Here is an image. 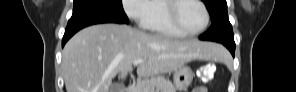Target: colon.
Instances as JSON below:
<instances>
[{"instance_id": "5ec220e1", "label": "colon", "mask_w": 296, "mask_h": 92, "mask_svg": "<svg viewBox=\"0 0 296 92\" xmlns=\"http://www.w3.org/2000/svg\"><path fill=\"white\" fill-rule=\"evenodd\" d=\"M198 74L202 79L209 80L213 76V68L210 66L204 67L199 70ZM193 92H208V89L205 86H198L193 89Z\"/></svg>"}]
</instances>
